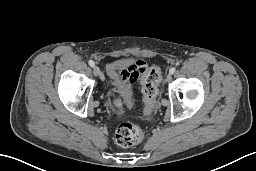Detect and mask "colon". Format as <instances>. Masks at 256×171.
<instances>
[{
	"label": "colon",
	"mask_w": 256,
	"mask_h": 171,
	"mask_svg": "<svg viewBox=\"0 0 256 171\" xmlns=\"http://www.w3.org/2000/svg\"><path fill=\"white\" fill-rule=\"evenodd\" d=\"M161 79V71L158 66H152L143 75L142 93L147 107H153L158 94V84ZM117 110L121 111L123 103L115 102ZM144 137L143 128L133 122H124L116 130L115 139L119 146L130 147L142 141Z\"/></svg>",
	"instance_id": "colon-1"
}]
</instances>
